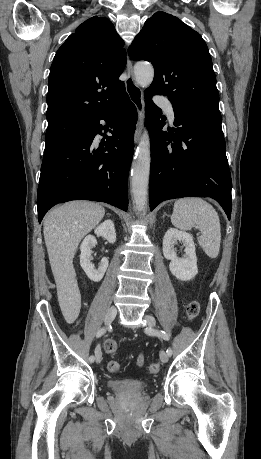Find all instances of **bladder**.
<instances>
[{"label": "bladder", "mask_w": 261, "mask_h": 459, "mask_svg": "<svg viewBox=\"0 0 261 459\" xmlns=\"http://www.w3.org/2000/svg\"><path fill=\"white\" fill-rule=\"evenodd\" d=\"M108 386L113 391L124 394H136L146 389L145 383L136 379H111Z\"/></svg>", "instance_id": "obj_1"}]
</instances>
